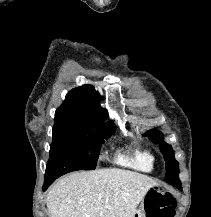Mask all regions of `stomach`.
Returning <instances> with one entry per match:
<instances>
[{
  "mask_svg": "<svg viewBox=\"0 0 211 217\" xmlns=\"http://www.w3.org/2000/svg\"><path fill=\"white\" fill-rule=\"evenodd\" d=\"M133 217H146L144 202L141 203L138 210H136Z\"/></svg>",
  "mask_w": 211,
  "mask_h": 217,
  "instance_id": "stomach-1",
  "label": "stomach"
}]
</instances>
